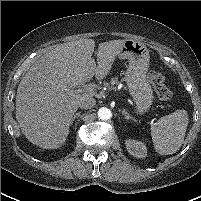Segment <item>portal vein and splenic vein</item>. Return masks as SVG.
<instances>
[{
	"label": "portal vein and splenic vein",
	"instance_id": "obj_1",
	"mask_svg": "<svg viewBox=\"0 0 201 201\" xmlns=\"http://www.w3.org/2000/svg\"><path fill=\"white\" fill-rule=\"evenodd\" d=\"M96 88L95 84H87V85H83L81 89H77V92H81V91H94Z\"/></svg>",
	"mask_w": 201,
	"mask_h": 201
}]
</instances>
